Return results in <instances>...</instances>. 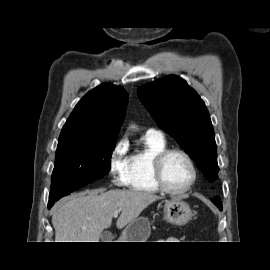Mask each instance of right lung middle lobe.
I'll return each mask as SVG.
<instances>
[{"mask_svg":"<svg viewBox=\"0 0 270 270\" xmlns=\"http://www.w3.org/2000/svg\"><path fill=\"white\" fill-rule=\"evenodd\" d=\"M115 141L59 139L49 201L103 177L110 170Z\"/></svg>","mask_w":270,"mask_h":270,"instance_id":"right-lung-middle-lobe-1","label":"right lung middle lobe"}]
</instances>
